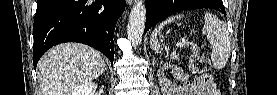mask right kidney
Listing matches in <instances>:
<instances>
[{
	"label": "right kidney",
	"mask_w": 277,
	"mask_h": 95,
	"mask_svg": "<svg viewBox=\"0 0 277 95\" xmlns=\"http://www.w3.org/2000/svg\"><path fill=\"white\" fill-rule=\"evenodd\" d=\"M97 89V84L94 82H86L77 86L71 95H94Z\"/></svg>",
	"instance_id": "1"
}]
</instances>
